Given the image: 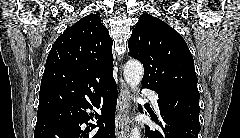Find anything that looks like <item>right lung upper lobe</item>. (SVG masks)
I'll list each match as a JSON object with an SVG mask.
<instances>
[{
	"label": "right lung upper lobe",
	"instance_id": "cb5924a9",
	"mask_svg": "<svg viewBox=\"0 0 240 138\" xmlns=\"http://www.w3.org/2000/svg\"><path fill=\"white\" fill-rule=\"evenodd\" d=\"M112 39L97 14L66 29L48 54L38 113L87 99L113 78Z\"/></svg>",
	"mask_w": 240,
	"mask_h": 138
}]
</instances>
